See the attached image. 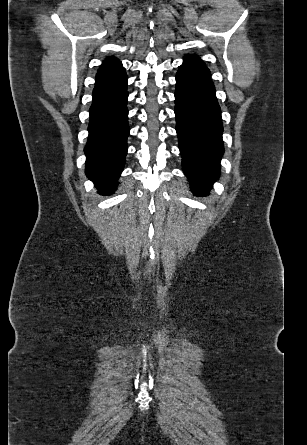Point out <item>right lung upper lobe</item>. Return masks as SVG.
<instances>
[{"mask_svg":"<svg viewBox=\"0 0 307 445\" xmlns=\"http://www.w3.org/2000/svg\"><path fill=\"white\" fill-rule=\"evenodd\" d=\"M120 64V62L118 61V59L114 58V57H109L107 58L103 64L100 66L99 71H104L107 69H110L116 65Z\"/></svg>","mask_w":307,"mask_h":445,"instance_id":"right-lung-upper-lobe-1","label":"right lung upper lobe"}]
</instances>
